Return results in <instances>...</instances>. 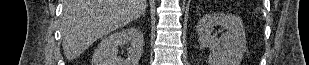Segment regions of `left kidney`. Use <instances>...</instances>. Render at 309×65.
<instances>
[{
  "label": "left kidney",
  "instance_id": "left-kidney-1",
  "mask_svg": "<svg viewBox=\"0 0 309 65\" xmlns=\"http://www.w3.org/2000/svg\"><path fill=\"white\" fill-rule=\"evenodd\" d=\"M217 27L226 31L217 38L212 32ZM199 44L210 50V65H240L246 52V35L240 17L212 13L202 17L197 26Z\"/></svg>",
  "mask_w": 309,
  "mask_h": 65
}]
</instances>
